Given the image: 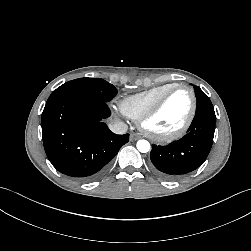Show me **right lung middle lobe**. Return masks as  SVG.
<instances>
[{"label": "right lung middle lobe", "mask_w": 251, "mask_h": 251, "mask_svg": "<svg viewBox=\"0 0 251 251\" xmlns=\"http://www.w3.org/2000/svg\"><path fill=\"white\" fill-rule=\"evenodd\" d=\"M117 89L100 78H79L64 83L52 92L48 101L63 96H82L109 102L116 94Z\"/></svg>", "instance_id": "obj_1"}]
</instances>
